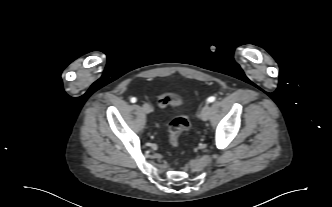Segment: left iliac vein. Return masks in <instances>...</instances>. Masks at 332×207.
I'll return each instance as SVG.
<instances>
[{
    "label": "left iliac vein",
    "mask_w": 332,
    "mask_h": 207,
    "mask_svg": "<svg viewBox=\"0 0 332 207\" xmlns=\"http://www.w3.org/2000/svg\"><path fill=\"white\" fill-rule=\"evenodd\" d=\"M210 116V106L206 104L201 110V119L207 121Z\"/></svg>",
    "instance_id": "4c4485c4"
}]
</instances>
